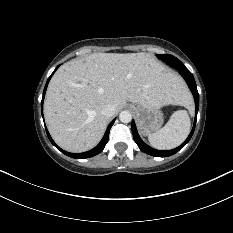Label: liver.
I'll return each instance as SVG.
<instances>
[{
  "label": "liver",
  "instance_id": "obj_1",
  "mask_svg": "<svg viewBox=\"0 0 233 233\" xmlns=\"http://www.w3.org/2000/svg\"><path fill=\"white\" fill-rule=\"evenodd\" d=\"M151 108L188 105L183 80L147 53H94L61 66L52 77L44 116L54 141L69 152H84L101 140L109 118L105 105L119 112L126 102Z\"/></svg>",
  "mask_w": 233,
  "mask_h": 233
}]
</instances>
